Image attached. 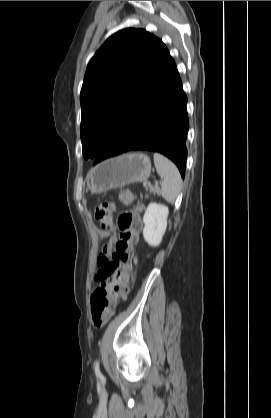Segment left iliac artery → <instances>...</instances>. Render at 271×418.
<instances>
[{
	"instance_id": "left-iliac-artery-1",
	"label": "left iliac artery",
	"mask_w": 271,
	"mask_h": 418,
	"mask_svg": "<svg viewBox=\"0 0 271 418\" xmlns=\"http://www.w3.org/2000/svg\"><path fill=\"white\" fill-rule=\"evenodd\" d=\"M95 373L98 377H101V372H100V368H99V361H96V363H95Z\"/></svg>"
}]
</instances>
